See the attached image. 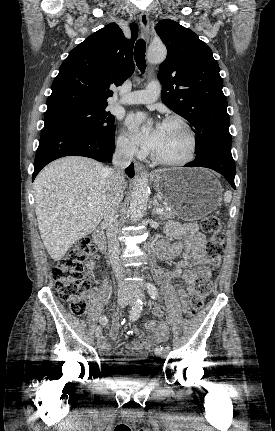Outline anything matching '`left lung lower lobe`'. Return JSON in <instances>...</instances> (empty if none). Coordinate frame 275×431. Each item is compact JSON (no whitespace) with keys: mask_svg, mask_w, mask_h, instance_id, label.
I'll return each instance as SVG.
<instances>
[{"mask_svg":"<svg viewBox=\"0 0 275 431\" xmlns=\"http://www.w3.org/2000/svg\"><path fill=\"white\" fill-rule=\"evenodd\" d=\"M186 167H206L222 174L227 181L235 188V163L230 149H219L207 151L195 157L186 164Z\"/></svg>","mask_w":275,"mask_h":431,"instance_id":"obj_1","label":"left lung lower lobe"}]
</instances>
